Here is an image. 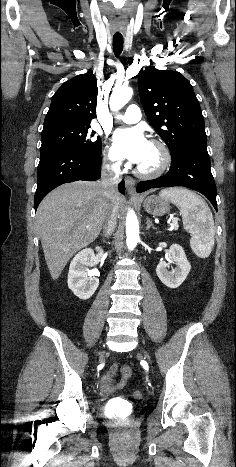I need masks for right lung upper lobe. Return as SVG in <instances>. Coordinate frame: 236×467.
I'll return each instance as SVG.
<instances>
[{
  "mask_svg": "<svg viewBox=\"0 0 236 467\" xmlns=\"http://www.w3.org/2000/svg\"><path fill=\"white\" fill-rule=\"evenodd\" d=\"M97 82L91 72L65 82L53 95L44 128L58 125H90L96 116Z\"/></svg>",
  "mask_w": 236,
  "mask_h": 467,
  "instance_id": "cb5924a9",
  "label": "right lung upper lobe"
}]
</instances>
